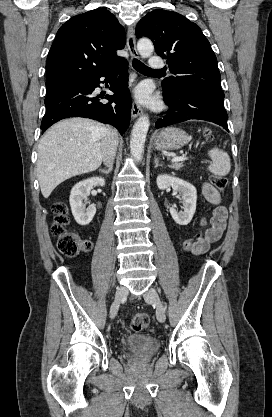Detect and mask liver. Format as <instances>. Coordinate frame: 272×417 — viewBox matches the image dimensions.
Wrapping results in <instances>:
<instances>
[{"label": "liver", "mask_w": 272, "mask_h": 417, "mask_svg": "<svg viewBox=\"0 0 272 417\" xmlns=\"http://www.w3.org/2000/svg\"><path fill=\"white\" fill-rule=\"evenodd\" d=\"M103 124L70 118L53 125L38 145L37 177L44 198L65 180L95 171L103 161Z\"/></svg>", "instance_id": "1"}]
</instances>
